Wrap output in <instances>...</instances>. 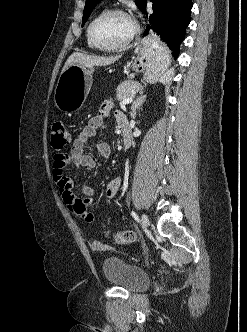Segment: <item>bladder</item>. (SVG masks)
Here are the masks:
<instances>
[{"instance_id": "obj_1", "label": "bladder", "mask_w": 247, "mask_h": 332, "mask_svg": "<svg viewBox=\"0 0 247 332\" xmlns=\"http://www.w3.org/2000/svg\"><path fill=\"white\" fill-rule=\"evenodd\" d=\"M102 271L107 282L129 292L143 291L150 284L145 270L115 256L104 259Z\"/></svg>"}]
</instances>
